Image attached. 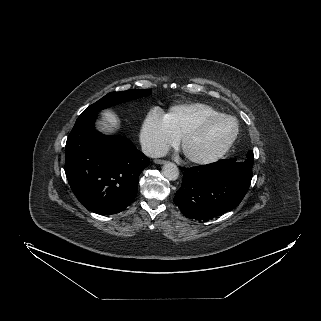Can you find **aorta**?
<instances>
[{
  "label": "aorta",
  "instance_id": "obj_1",
  "mask_svg": "<svg viewBox=\"0 0 321 321\" xmlns=\"http://www.w3.org/2000/svg\"><path fill=\"white\" fill-rule=\"evenodd\" d=\"M163 175L170 181H174L179 177V169L178 167L171 162H167L164 164L162 168Z\"/></svg>",
  "mask_w": 321,
  "mask_h": 321
}]
</instances>
